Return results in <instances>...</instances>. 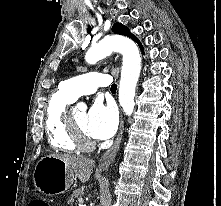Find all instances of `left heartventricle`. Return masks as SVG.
I'll list each match as a JSON object with an SVG mask.
<instances>
[{
  "label": "left heart ventricle",
  "instance_id": "left-heart-ventricle-1",
  "mask_svg": "<svg viewBox=\"0 0 221 206\" xmlns=\"http://www.w3.org/2000/svg\"><path fill=\"white\" fill-rule=\"evenodd\" d=\"M72 117L76 121L79 128L88 135L86 131V121H87V113L85 111H77L75 112ZM89 136V135H88Z\"/></svg>",
  "mask_w": 221,
  "mask_h": 206
}]
</instances>
